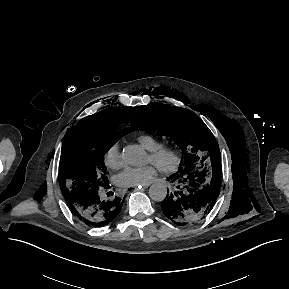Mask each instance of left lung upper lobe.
Wrapping results in <instances>:
<instances>
[{"label":"left lung upper lobe","instance_id":"obj_1","mask_svg":"<svg viewBox=\"0 0 289 289\" xmlns=\"http://www.w3.org/2000/svg\"><path fill=\"white\" fill-rule=\"evenodd\" d=\"M136 110L140 129L169 136L182 149L185 161L171 178H183L195 172L206 177L222 174L217 141L194 112L159 103L140 106Z\"/></svg>","mask_w":289,"mask_h":289}]
</instances>
